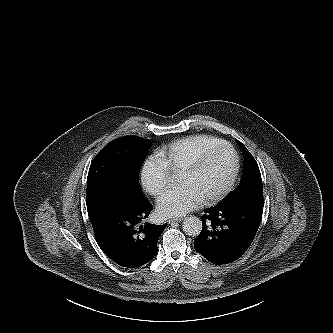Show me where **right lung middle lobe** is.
I'll return each instance as SVG.
<instances>
[{
    "mask_svg": "<svg viewBox=\"0 0 333 333\" xmlns=\"http://www.w3.org/2000/svg\"><path fill=\"white\" fill-rule=\"evenodd\" d=\"M151 141L125 136L107 144L92 161L87 177V210L113 199L146 200L138 175Z\"/></svg>",
    "mask_w": 333,
    "mask_h": 333,
    "instance_id": "dd1d6c3e",
    "label": "right lung middle lobe"
}]
</instances>
